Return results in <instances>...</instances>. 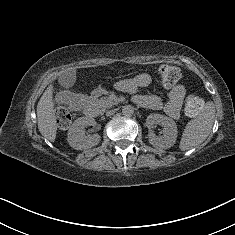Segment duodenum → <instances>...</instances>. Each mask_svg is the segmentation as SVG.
Returning a JSON list of instances; mask_svg holds the SVG:
<instances>
[{
    "instance_id": "obj_1",
    "label": "duodenum",
    "mask_w": 235,
    "mask_h": 235,
    "mask_svg": "<svg viewBox=\"0 0 235 235\" xmlns=\"http://www.w3.org/2000/svg\"><path fill=\"white\" fill-rule=\"evenodd\" d=\"M86 113L89 117H93L95 114L94 107L90 104V100H86Z\"/></svg>"
}]
</instances>
